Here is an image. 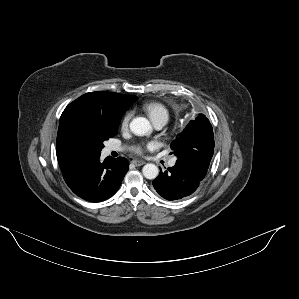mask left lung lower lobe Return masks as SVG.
<instances>
[{"label":"left lung lower lobe","instance_id":"0a47b994","mask_svg":"<svg viewBox=\"0 0 299 299\" xmlns=\"http://www.w3.org/2000/svg\"><path fill=\"white\" fill-rule=\"evenodd\" d=\"M207 174V169L192 162L177 160L168 171H160L153 181L154 189L166 200H178L191 195Z\"/></svg>","mask_w":299,"mask_h":299}]
</instances>
